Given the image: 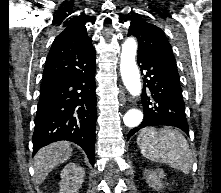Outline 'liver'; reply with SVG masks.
<instances>
[{
    "mask_svg": "<svg viewBox=\"0 0 221 193\" xmlns=\"http://www.w3.org/2000/svg\"><path fill=\"white\" fill-rule=\"evenodd\" d=\"M72 151L71 144L66 141L54 142L41 148L34 158L36 184H41L53 168L67 161Z\"/></svg>",
    "mask_w": 221,
    "mask_h": 193,
    "instance_id": "1",
    "label": "liver"
}]
</instances>
